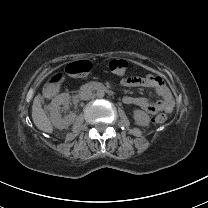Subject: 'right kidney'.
<instances>
[{
  "label": "right kidney",
  "instance_id": "1",
  "mask_svg": "<svg viewBox=\"0 0 208 208\" xmlns=\"http://www.w3.org/2000/svg\"><path fill=\"white\" fill-rule=\"evenodd\" d=\"M71 97L67 93H61L56 96L50 104L51 122L55 128L63 130L72 125L76 120V114L72 113L70 116L62 118L60 112L63 108H68ZM63 106V107H62Z\"/></svg>",
  "mask_w": 208,
  "mask_h": 208
}]
</instances>
